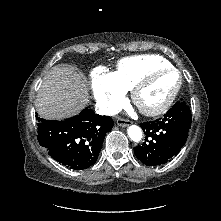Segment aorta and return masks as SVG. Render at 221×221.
I'll return each mask as SVG.
<instances>
[{
    "label": "aorta",
    "mask_w": 221,
    "mask_h": 221,
    "mask_svg": "<svg viewBox=\"0 0 221 221\" xmlns=\"http://www.w3.org/2000/svg\"><path fill=\"white\" fill-rule=\"evenodd\" d=\"M127 132L131 140L134 142H139L142 139V130L136 125H131Z\"/></svg>",
    "instance_id": "1"
}]
</instances>
